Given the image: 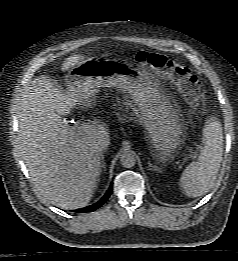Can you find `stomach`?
<instances>
[{
  "instance_id": "0dacf381",
  "label": "stomach",
  "mask_w": 238,
  "mask_h": 261,
  "mask_svg": "<svg viewBox=\"0 0 238 261\" xmlns=\"http://www.w3.org/2000/svg\"><path fill=\"white\" fill-rule=\"evenodd\" d=\"M66 77L68 92L84 107L94 104L101 87H116L127 94L148 131L161 160L175 153L183 134L179 110L160 86L129 65L109 59L85 60Z\"/></svg>"
}]
</instances>
